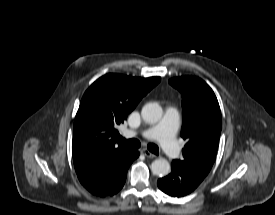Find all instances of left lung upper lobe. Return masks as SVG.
<instances>
[{
    "label": "left lung upper lobe",
    "mask_w": 275,
    "mask_h": 215,
    "mask_svg": "<svg viewBox=\"0 0 275 215\" xmlns=\"http://www.w3.org/2000/svg\"><path fill=\"white\" fill-rule=\"evenodd\" d=\"M169 83L182 94L181 136L187 140L182 150L183 159L174 161L206 177L216 158L222 127L218 100L212 89L198 77L172 78Z\"/></svg>",
    "instance_id": "1"
}]
</instances>
